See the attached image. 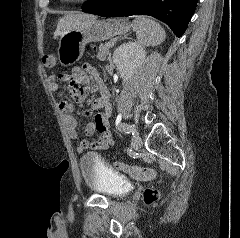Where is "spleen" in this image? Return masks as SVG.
I'll list each match as a JSON object with an SVG mask.
<instances>
[{
	"instance_id": "obj_1",
	"label": "spleen",
	"mask_w": 240,
	"mask_h": 238,
	"mask_svg": "<svg viewBox=\"0 0 240 238\" xmlns=\"http://www.w3.org/2000/svg\"><path fill=\"white\" fill-rule=\"evenodd\" d=\"M132 27L138 42L143 46H157L165 40V30L150 18L137 16L132 22Z\"/></svg>"
}]
</instances>
